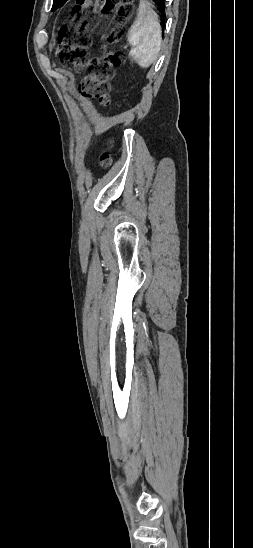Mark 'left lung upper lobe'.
<instances>
[{"label": "left lung upper lobe", "instance_id": "obj_1", "mask_svg": "<svg viewBox=\"0 0 253 548\" xmlns=\"http://www.w3.org/2000/svg\"><path fill=\"white\" fill-rule=\"evenodd\" d=\"M62 0H54L53 1V7H52V10L54 9V7L59 4V2H61Z\"/></svg>", "mask_w": 253, "mask_h": 548}]
</instances>
